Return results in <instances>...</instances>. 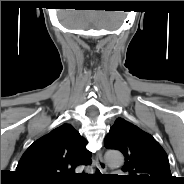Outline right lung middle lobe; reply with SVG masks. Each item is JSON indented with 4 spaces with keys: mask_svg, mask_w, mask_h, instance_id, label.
<instances>
[{
    "mask_svg": "<svg viewBox=\"0 0 184 184\" xmlns=\"http://www.w3.org/2000/svg\"><path fill=\"white\" fill-rule=\"evenodd\" d=\"M33 183V182H32ZM34 184H45V183H34Z\"/></svg>",
    "mask_w": 184,
    "mask_h": 184,
    "instance_id": "1",
    "label": "right lung middle lobe"
}]
</instances>
